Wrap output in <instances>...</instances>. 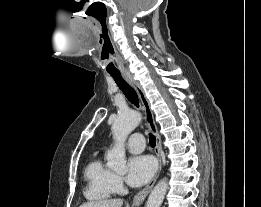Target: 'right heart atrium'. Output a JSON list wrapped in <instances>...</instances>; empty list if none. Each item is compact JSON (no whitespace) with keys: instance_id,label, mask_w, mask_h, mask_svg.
<instances>
[{"instance_id":"obj_1","label":"right heart atrium","mask_w":261,"mask_h":207,"mask_svg":"<svg viewBox=\"0 0 261 207\" xmlns=\"http://www.w3.org/2000/svg\"><path fill=\"white\" fill-rule=\"evenodd\" d=\"M113 188L115 192H121L124 189L123 180L121 177L114 175L113 177Z\"/></svg>"}]
</instances>
